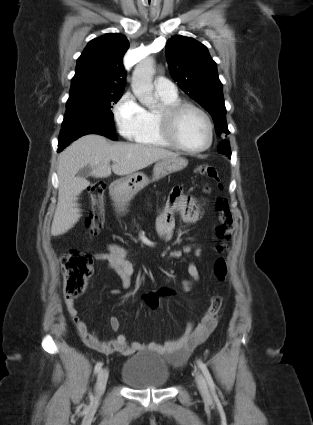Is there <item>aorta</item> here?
<instances>
[{
  "label": "aorta",
  "instance_id": "aorta-1",
  "mask_svg": "<svg viewBox=\"0 0 313 425\" xmlns=\"http://www.w3.org/2000/svg\"><path fill=\"white\" fill-rule=\"evenodd\" d=\"M154 73V59L147 57L136 65L131 82L134 95L142 105L149 109L155 108L157 104L153 94L154 86L152 80Z\"/></svg>",
  "mask_w": 313,
  "mask_h": 425
}]
</instances>
